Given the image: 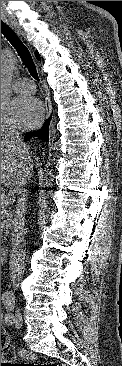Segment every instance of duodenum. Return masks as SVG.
<instances>
[{"label": "duodenum", "mask_w": 122, "mask_h": 366, "mask_svg": "<svg viewBox=\"0 0 122 366\" xmlns=\"http://www.w3.org/2000/svg\"><path fill=\"white\" fill-rule=\"evenodd\" d=\"M9 254V250L6 247H1V260Z\"/></svg>", "instance_id": "duodenum-1"}]
</instances>
